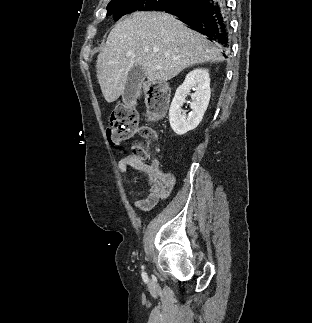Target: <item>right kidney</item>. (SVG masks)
<instances>
[{"instance_id": "ca27d5eb", "label": "right kidney", "mask_w": 312, "mask_h": 323, "mask_svg": "<svg viewBox=\"0 0 312 323\" xmlns=\"http://www.w3.org/2000/svg\"><path fill=\"white\" fill-rule=\"evenodd\" d=\"M190 90H194V94H190L192 112L187 116L182 106ZM210 94V78L206 68H196L187 74L182 86L177 88L169 110V122L175 134L184 136L197 128L208 108Z\"/></svg>"}]
</instances>
